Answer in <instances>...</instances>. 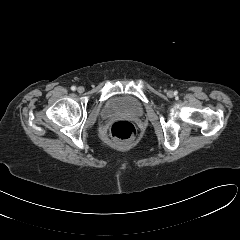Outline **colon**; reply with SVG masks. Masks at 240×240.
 Returning <instances> with one entry per match:
<instances>
[{"label":"colon","instance_id":"colon-1","mask_svg":"<svg viewBox=\"0 0 240 240\" xmlns=\"http://www.w3.org/2000/svg\"><path fill=\"white\" fill-rule=\"evenodd\" d=\"M109 134L114 141L127 143L136 138L137 128L130 121H117L111 125Z\"/></svg>","mask_w":240,"mask_h":240}]
</instances>
